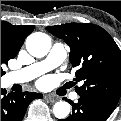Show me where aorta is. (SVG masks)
<instances>
[{"label":"aorta","mask_w":121,"mask_h":121,"mask_svg":"<svg viewBox=\"0 0 121 121\" xmlns=\"http://www.w3.org/2000/svg\"><path fill=\"white\" fill-rule=\"evenodd\" d=\"M26 48L32 56L44 57L51 48V39L42 32L32 33L27 37ZM53 113L58 119H64L70 113V105L66 101L56 102Z\"/></svg>","instance_id":"aorta-1"}]
</instances>
